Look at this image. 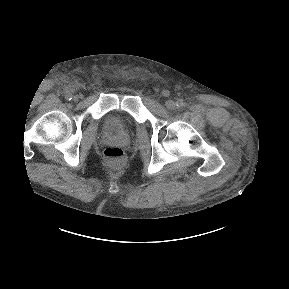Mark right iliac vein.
Masks as SVG:
<instances>
[{"label":"right iliac vein","instance_id":"1","mask_svg":"<svg viewBox=\"0 0 289 289\" xmlns=\"http://www.w3.org/2000/svg\"><path fill=\"white\" fill-rule=\"evenodd\" d=\"M79 99H80V96H79V95H74V96H73V100H74V101H78Z\"/></svg>","mask_w":289,"mask_h":289}]
</instances>
